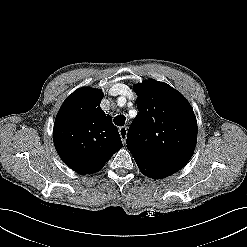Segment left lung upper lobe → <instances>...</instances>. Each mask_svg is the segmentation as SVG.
I'll use <instances>...</instances> for the list:
<instances>
[{
    "label": "left lung upper lobe",
    "mask_w": 247,
    "mask_h": 247,
    "mask_svg": "<svg viewBox=\"0 0 247 247\" xmlns=\"http://www.w3.org/2000/svg\"><path fill=\"white\" fill-rule=\"evenodd\" d=\"M133 88L139 113L128 130V150L135 160L182 169L197 141V122L189 102L170 85L156 80Z\"/></svg>",
    "instance_id": "left-lung-upper-lobe-1"
}]
</instances>
